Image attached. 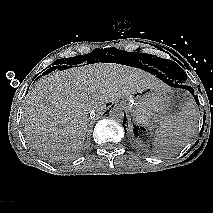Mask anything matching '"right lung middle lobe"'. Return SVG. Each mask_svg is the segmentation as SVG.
I'll use <instances>...</instances> for the list:
<instances>
[{
	"mask_svg": "<svg viewBox=\"0 0 213 213\" xmlns=\"http://www.w3.org/2000/svg\"><path fill=\"white\" fill-rule=\"evenodd\" d=\"M115 51H119L116 48H112V49H95L92 53L90 54H86V55H81V56H76V57H72V58H66L65 60L60 59V60H56L54 62L55 65H62V64H69V65H74V64H78L81 63L83 61L86 60V57L88 56V58H96V57H100V56H104L106 57H114V53ZM98 59V58H97Z\"/></svg>",
	"mask_w": 213,
	"mask_h": 213,
	"instance_id": "obj_1",
	"label": "right lung middle lobe"
}]
</instances>
